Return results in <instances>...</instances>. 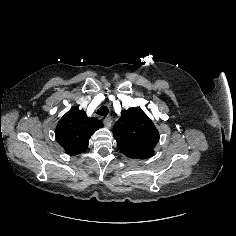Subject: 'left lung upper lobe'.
Returning <instances> with one entry per match:
<instances>
[{
    "label": "left lung upper lobe",
    "instance_id": "1",
    "mask_svg": "<svg viewBox=\"0 0 236 236\" xmlns=\"http://www.w3.org/2000/svg\"><path fill=\"white\" fill-rule=\"evenodd\" d=\"M120 121L113 128V136L120 150L154 151L159 132L139 107L123 110Z\"/></svg>",
    "mask_w": 236,
    "mask_h": 236
}]
</instances>
